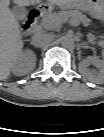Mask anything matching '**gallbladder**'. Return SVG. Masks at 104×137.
Listing matches in <instances>:
<instances>
[{"instance_id":"bac80fb5","label":"gallbladder","mask_w":104,"mask_h":137,"mask_svg":"<svg viewBox=\"0 0 104 137\" xmlns=\"http://www.w3.org/2000/svg\"><path fill=\"white\" fill-rule=\"evenodd\" d=\"M11 12L17 19H24L27 14V10L24 7L20 6H14L11 9Z\"/></svg>"}]
</instances>
